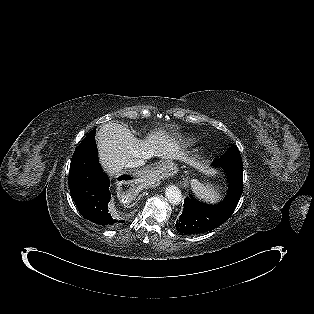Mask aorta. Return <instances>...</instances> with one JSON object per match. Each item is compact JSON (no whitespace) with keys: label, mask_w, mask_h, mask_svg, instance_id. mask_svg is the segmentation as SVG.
Wrapping results in <instances>:
<instances>
[{"label":"aorta","mask_w":314,"mask_h":314,"mask_svg":"<svg viewBox=\"0 0 314 314\" xmlns=\"http://www.w3.org/2000/svg\"><path fill=\"white\" fill-rule=\"evenodd\" d=\"M165 196L167 200L169 201V203L173 205L180 204L182 200L181 190L175 185H169L166 187Z\"/></svg>","instance_id":"obj_1"}]
</instances>
